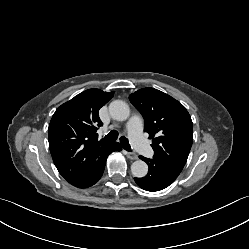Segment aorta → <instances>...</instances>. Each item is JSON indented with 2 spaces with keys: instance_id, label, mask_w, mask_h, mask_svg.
<instances>
[{
  "instance_id": "aorta-1",
  "label": "aorta",
  "mask_w": 249,
  "mask_h": 249,
  "mask_svg": "<svg viewBox=\"0 0 249 249\" xmlns=\"http://www.w3.org/2000/svg\"><path fill=\"white\" fill-rule=\"evenodd\" d=\"M109 113L114 120L124 121L129 117L130 109L124 101L115 100L109 105ZM131 173L134 177L143 178L148 173V165L142 160H137L131 165Z\"/></svg>"
}]
</instances>
